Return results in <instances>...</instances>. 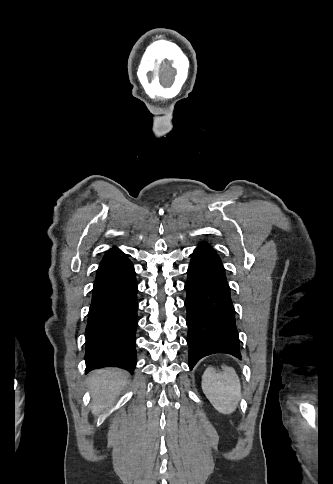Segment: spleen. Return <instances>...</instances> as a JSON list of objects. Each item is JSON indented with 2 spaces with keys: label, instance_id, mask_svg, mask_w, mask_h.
Masks as SVG:
<instances>
[{
  "label": "spleen",
  "instance_id": "1",
  "mask_svg": "<svg viewBox=\"0 0 333 484\" xmlns=\"http://www.w3.org/2000/svg\"><path fill=\"white\" fill-rule=\"evenodd\" d=\"M202 390L213 407L224 415L236 410L241 396V384L233 368L216 372L207 369L202 376Z\"/></svg>",
  "mask_w": 333,
  "mask_h": 484
}]
</instances>
